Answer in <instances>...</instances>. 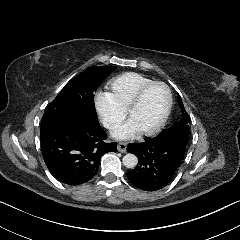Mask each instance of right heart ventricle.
Here are the masks:
<instances>
[{
    "instance_id": "e07e8e85",
    "label": "right heart ventricle",
    "mask_w": 240,
    "mask_h": 240,
    "mask_svg": "<svg viewBox=\"0 0 240 240\" xmlns=\"http://www.w3.org/2000/svg\"><path fill=\"white\" fill-rule=\"evenodd\" d=\"M152 82L149 78L134 72H127L112 78L106 83V93L114 104L124 111L133 100L137 91L145 84Z\"/></svg>"
}]
</instances>
